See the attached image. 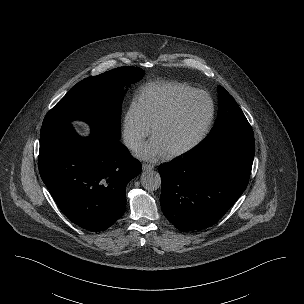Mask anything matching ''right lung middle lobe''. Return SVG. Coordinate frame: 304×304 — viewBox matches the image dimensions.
Masks as SVG:
<instances>
[{"mask_svg": "<svg viewBox=\"0 0 304 304\" xmlns=\"http://www.w3.org/2000/svg\"><path fill=\"white\" fill-rule=\"evenodd\" d=\"M143 75L140 68L120 67L82 80L47 113L41 129L78 119L119 140L121 105L126 92L123 87L139 81Z\"/></svg>", "mask_w": 304, "mask_h": 304, "instance_id": "right-lung-middle-lobe-1", "label": "right lung middle lobe"}]
</instances>
